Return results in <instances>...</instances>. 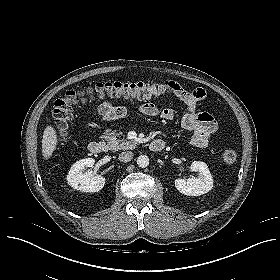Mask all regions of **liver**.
<instances>
[{"instance_id":"obj_1","label":"liver","mask_w":280,"mask_h":280,"mask_svg":"<svg viewBox=\"0 0 280 280\" xmlns=\"http://www.w3.org/2000/svg\"><path fill=\"white\" fill-rule=\"evenodd\" d=\"M58 143L57 134L52 126H47L43 133L42 155L44 159H49Z\"/></svg>"}]
</instances>
